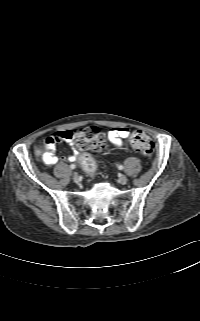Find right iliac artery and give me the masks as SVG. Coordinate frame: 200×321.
Returning <instances> with one entry per match:
<instances>
[{
    "instance_id": "obj_1",
    "label": "right iliac artery",
    "mask_w": 200,
    "mask_h": 321,
    "mask_svg": "<svg viewBox=\"0 0 200 321\" xmlns=\"http://www.w3.org/2000/svg\"><path fill=\"white\" fill-rule=\"evenodd\" d=\"M70 168H71V169H75V165H74V164H71V165H70Z\"/></svg>"
}]
</instances>
